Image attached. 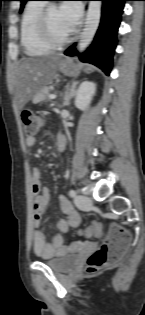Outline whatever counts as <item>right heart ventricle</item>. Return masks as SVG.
Masks as SVG:
<instances>
[{"label": "right heart ventricle", "instance_id": "right-heart-ventricle-1", "mask_svg": "<svg viewBox=\"0 0 145 315\" xmlns=\"http://www.w3.org/2000/svg\"><path fill=\"white\" fill-rule=\"evenodd\" d=\"M45 4L39 0L29 2L23 12L20 25V40L24 51L29 56L48 54L51 47L45 44L37 33V20Z\"/></svg>", "mask_w": 145, "mask_h": 315}]
</instances>
